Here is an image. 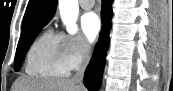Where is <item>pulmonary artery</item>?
I'll return each instance as SVG.
<instances>
[{"instance_id":"e3ab8cb5","label":"pulmonary artery","mask_w":173,"mask_h":91,"mask_svg":"<svg viewBox=\"0 0 173 91\" xmlns=\"http://www.w3.org/2000/svg\"><path fill=\"white\" fill-rule=\"evenodd\" d=\"M94 0H80L79 4L80 6L85 9V10H89L94 6Z\"/></svg>"}]
</instances>
